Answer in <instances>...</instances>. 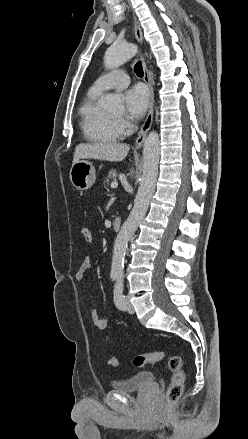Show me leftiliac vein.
<instances>
[{
    "instance_id": "1",
    "label": "left iliac vein",
    "mask_w": 248,
    "mask_h": 439,
    "mask_svg": "<svg viewBox=\"0 0 248 439\" xmlns=\"http://www.w3.org/2000/svg\"><path fill=\"white\" fill-rule=\"evenodd\" d=\"M126 310L130 313L134 312V307L128 297H125Z\"/></svg>"
}]
</instances>
